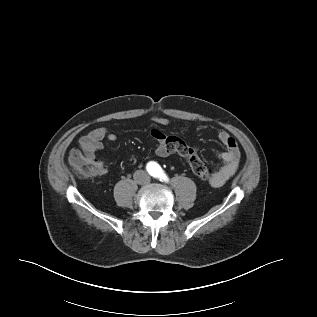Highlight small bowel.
<instances>
[{
	"instance_id": "1",
	"label": "small bowel",
	"mask_w": 317,
	"mask_h": 317,
	"mask_svg": "<svg viewBox=\"0 0 317 317\" xmlns=\"http://www.w3.org/2000/svg\"><path fill=\"white\" fill-rule=\"evenodd\" d=\"M152 120L161 126H166L170 123L168 118L159 114L154 115ZM151 133L157 142L156 154L159 157L165 158L173 154H179V150L188 147L182 139L178 137H167L159 129H153ZM218 139L225 147V151L219 154L222 165L211 177L209 184L212 187H220L230 179L236 172L240 161V150L236 140L226 131H220ZM105 140L114 142L117 140V136L104 127L92 129L89 133L80 138L79 149L73 150L70 153V162L73 164L77 157L85 158L95 163L97 175L106 174L107 169L100 162L96 161L94 156L96 152L104 148L103 142Z\"/></svg>"
}]
</instances>
